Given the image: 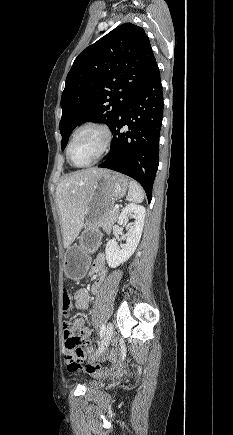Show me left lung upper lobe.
<instances>
[{
    "label": "left lung upper lobe",
    "instance_id": "left-lung-upper-lobe-1",
    "mask_svg": "<svg viewBox=\"0 0 233 435\" xmlns=\"http://www.w3.org/2000/svg\"><path fill=\"white\" fill-rule=\"evenodd\" d=\"M156 66L148 36L132 23L116 27L82 51L67 75L61 97V149L83 122L100 121L111 129Z\"/></svg>",
    "mask_w": 233,
    "mask_h": 435
}]
</instances>
